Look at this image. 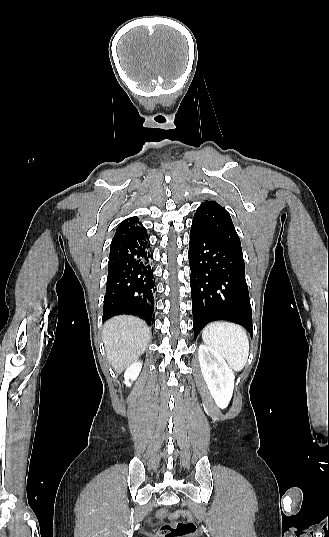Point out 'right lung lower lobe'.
Here are the masks:
<instances>
[{"label":"right lung lower lobe","instance_id":"1","mask_svg":"<svg viewBox=\"0 0 329 537\" xmlns=\"http://www.w3.org/2000/svg\"><path fill=\"white\" fill-rule=\"evenodd\" d=\"M147 231L110 246L103 320L119 314L138 316L152 325L156 292Z\"/></svg>","mask_w":329,"mask_h":537}]
</instances>
